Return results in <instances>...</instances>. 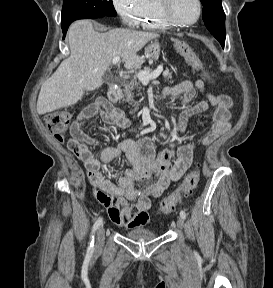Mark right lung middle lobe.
<instances>
[{"label":"right lung middle lobe","mask_w":273,"mask_h":288,"mask_svg":"<svg viewBox=\"0 0 273 288\" xmlns=\"http://www.w3.org/2000/svg\"><path fill=\"white\" fill-rule=\"evenodd\" d=\"M116 15L112 0H63L61 25L66 27L78 19Z\"/></svg>","instance_id":"obj_1"}]
</instances>
